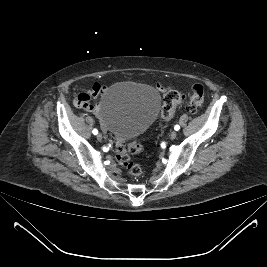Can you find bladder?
<instances>
[{
	"instance_id": "obj_1",
	"label": "bladder",
	"mask_w": 267,
	"mask_h": 267,
	"mask_svg": "<svg viewBox=\"0 0 267 267\" xmlns=\"http://www.w3.org/2000/svg\"><path fill=\"white\" fill-rule=\"evenodd\" d=\"M160 97L153 89L135 82H118L100 100V119L119 140L145 132L158 115Z\"/></svg>"
}]
</instances>
